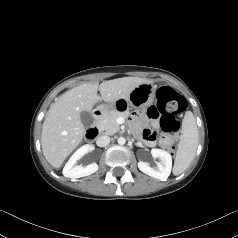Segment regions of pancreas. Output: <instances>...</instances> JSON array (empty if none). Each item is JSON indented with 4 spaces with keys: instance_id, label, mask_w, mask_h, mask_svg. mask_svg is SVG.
<instances>
[{
    "instance_id": "obj_1",
    "label": "pancreas",
    "mask_w": 238,
    "mask_h": 238,
    "mask_svg": "<svg viewBox=\"0 0 238 238\" xmlns=\"http://www.w3.org/2000/svg\"><path fill=\"white\" fill-rule=\"evenodd\" d=\"M128 111L119 112L111 110L108 112L102 120L99 121L97 127L100 131H105L106 134L112 135L120 130L119 124L116 122L118 117H127Z\"/></svg>"
}]
</instances>
